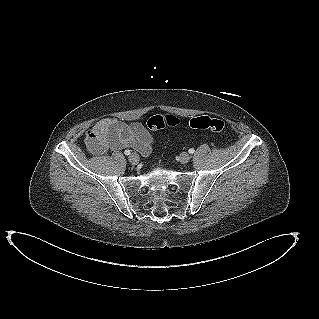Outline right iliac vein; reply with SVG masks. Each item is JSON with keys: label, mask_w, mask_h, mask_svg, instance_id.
Wrapping results in <instances>:
<instances>
[{"label": "right iliac vein", "mask_w": 319, "mask_h": 319, "mask_svg": "<svg viewBox=\"0 0 319 319\" xmlns=\"http://www.w3.org/2000/svg\"><path fill=\"white\" fill-rule=\"evenodd\" d=\"M129 161L132 163V164H137L139 162V155L136 154V153H131L129 155Z\"/></svg>", "instance_id": "1"}]
</instances>
